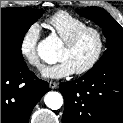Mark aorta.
Segmentation results:
<instances>
[{"label":"aorta","mask_w":123,"mask_h":123,"mask_svg":"<svg viewBox=\"0 0 123 123\" xmlns=\"http://www.w3.org/2000/svg\"><path fill=\"white\" fill-rule=\"evenodd\" d=\"M57 42L52 36H48L39 42L37 52L39 57L45 62L52 63L56 59ZM45 105L57 110L63 105V97L60 93L50 91L44 97Z\"/></svg>","instance_id":"obj_1"}]
</instances>
